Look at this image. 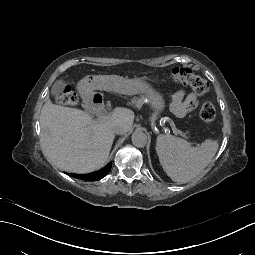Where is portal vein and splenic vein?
Returning <instances> with one entry per match:
<instances>
[{
	"label": "portal vein and splenic vein",
	"mask_w": 255,
	"mask_h": 255,
	"mask_svg": "<svg viewBox=\"0 0 255 255\" xmlns=\"http://www.w3.org/2000/svg\"><path fill=\"white\" fill-rule=\"evenodd\" d=\"M116 115H117V112L115 110H112L110 113L98 114L96 117H94V122L109 120L111 116L115 117ZM163 128H167V125H163ZM169 130H172V127H169ZM175 132H178V129H175ZM180 135L183 138L188 139V136L185 133L180 132Z\"/></svg>",
	"instance_id": "obj_1"
}]
</instances>
